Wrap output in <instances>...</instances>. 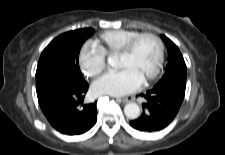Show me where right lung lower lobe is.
<instances>
[{
    "label": "right lung lower lobe",
    "mask_w": 225,
    "mask_h": 155,
    "mask_svg": "<svg viewBox=\"0 0 225 155\" xmlns=\"http://www.w3.org/2000/svg\"><path fill=\"white\" fill-rule=\"evenodd\" d=\"M88 83H62L38 98L50 124L68 135L85 133L97 121L96 103L83 104Z\"/></svg>",
    "instance_id": "obj_1"
}]
</instances>
